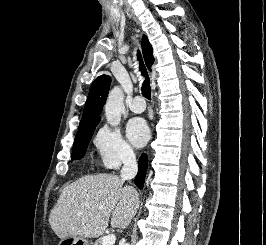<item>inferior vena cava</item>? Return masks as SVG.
<instances>
[{
	"label": "inferior vena cava",
	"mask_w": 266,
	"mask_h": 245,
	"mask_svg": "<svg viewBox=\"0 0 266 245\" xmlns=\"http://www.w3.org/2000/svg\"><path fill=\"white\" fill-rule=\"evenodd\" d=\"M137 171L138 167H137L135 153H133V151H129L128 155H125L124 157V165L120 173L122 181H128V179H134V177H136L137 175Z\"/></svg>",
	"instance_id": "1"
}]
</instances>
